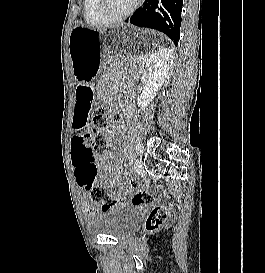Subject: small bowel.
I'll use <instances>...</instances> for the list:
<instances>
[{"label":"small bowel","mask_w":265,"mask_h":273,"mask_svg":"<svg viewBox=\"0 0 265 273\" xmlns=\"http://www.w3.org/2000/svg\"><path fill=\"white\" fill-rule=\"evenodd\" d=\"M113 112L119 113L117 111ZM117 130L118 126L112 127L111 130L109 131V135L113 136L117 132ZM89 136L90 132L87 128H85L84 132H77L76 128H74V133L70 141L71 166L76 182L80 187H82L79 182V174L81 172L88 173L91 169L95 168L97 170V173L98 171H100L101 175L104 176L111 175L112 173L111 168L106 163V159L113 157L114 153L112 151H107L99 157L90 156L88 154ZM84 212L86 214H91L94 212V208L89 203H86L84 207Z\"/></svg>","instance_id":"c3829d8e"}]
</instances>
